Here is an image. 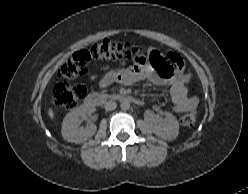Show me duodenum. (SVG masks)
I'll use <instances>...</instances> for the list:
<instances>
[{"mask_svg": "<svg viewBox=\"0 0 248 194\" xmlns=\"http://www.w3.org/2000/svg\"><path fill=\"white\" fill-rule=\"evenodd\" d=\"M107 99H115V100L132 103V104L139 105V106L143 104V102L140 99L130 97L124 94H114V95L105 96V95H102L96 92L90 93L86 96L85 104L91 107H95V106L101 105Z\"/></svg>", "mask_w": 248, "mask_h": 194, "instance_id": "410a0bca", "label": "duodenum"}]
</instances>
